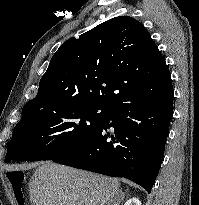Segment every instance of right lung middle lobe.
<instances>
[{
	"mask_svg": "<svg viewBox=\"0 0 199 205\" xmlns=\"http://www.w3.org/2000/svg\"><path fill=\"white\" fill-rule=\"evenodd\" d=\"M108 111L99 106L66 102L26 106L7 144L5 162L65 156L104 127Z\"/></svg>",
	"mask_w": 199,
	"mask_h": 205,
	"instance_id": "obj_1",
	"label": "right lung middle lobe"
}]
</instances>
